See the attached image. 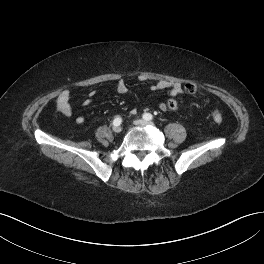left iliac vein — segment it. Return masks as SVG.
Listing matches in <instances>:
<instances>
[{"label":"left iliac vein","instance_id":"1","mask_svg":"<svg viewBox=\"0 0 264 264\" xmlns=\"http://www.w3.org/2000/svg\"><path fill=\"white\" fill-rule=\"evenodd\" d=\"M134 124L138 126H154L153 122L142 120V119L135 120Z\"/></svg>","mask_w":264,"mask_h":264}]
</instances>
